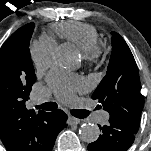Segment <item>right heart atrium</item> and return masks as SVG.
<instances>
[{
	"mask_svg": "<svg viewBox=\"0 0 151 151\" xmlns=\"http://www.w3.org/2000/svg\"><path fill=\"white\" fill-rule=\"evenodd\" d=\"M53 45L51 42L38 40L30 47V56L36 65L41 68L51 62Z\"/></svg>",
	"mask_w": 151,
	"mask_h": 151,
	"instance_id": "d8ad5b80",
	"label": "right heart atrium"
}]
</instances>
